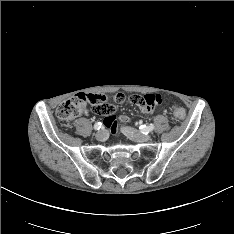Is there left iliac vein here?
I'll list each match as a JSON object with an SVG mask.
<instances>
[{
    "label": "left iliac vein",
    "mask_w": 234,
    "mask_h": 234,
    "mask_svg": "<svg viewBox=\"0 0 234 234\" xmlns=\"http://www.w3.org/2000/svg\"><path fill=\"white\" fill-rule=\"evenodd\" d=\"M122 132L131 140L135 141V142H147L151 139L150 135H145L140 133L137 130H134L131 127H122Z\"/></svg>",
    "instance_id": "4c4485c4"
}]
</instances>
